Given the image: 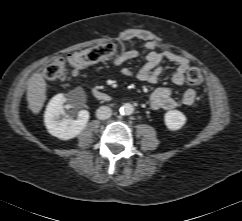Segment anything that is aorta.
Wrapping results in <instances>:
<instances>
[{"mask_svg": "<svg viewBox=\"0 0 242 221\" xmlns=\"http://www.w3.org/2000/svg\"><path fill=\"white\" fill-rule=\"evenodd\" d=\"M119 111L122 115H131L134 112V107L130 103H125L120 107Z\"/></svg>", "mask_w": 242, "mask_h": 221, "instance_id": "aorta-1", "label": "aorta"}]
</instances>
